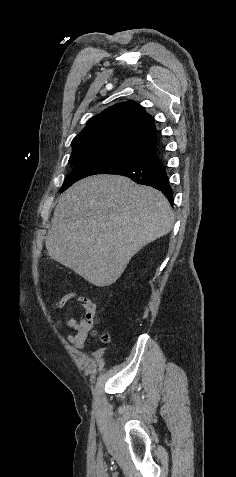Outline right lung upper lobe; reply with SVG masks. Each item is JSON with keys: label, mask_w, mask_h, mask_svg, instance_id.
<instances>
[{"label": "right lung upper lobe", "mask_w": 236, "mask_h": 477, "mask_svg": "<svg viewBox=\"0 0 236 477\" xmlns=\"http://www.w3.org/2000/svg\"><path fill=\"white\" fill-rule=\"evenodd\" d=\"M156 128L151 115L134 101L115 104L89 120L72 141L69 161L108 159L133 164L156 152Z\"/></svg>", "instance_id": "1"}]
</instances>
